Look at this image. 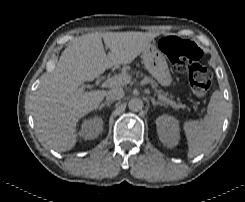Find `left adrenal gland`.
Listing matches in <instances>:
<instances>
[{
	"mask_svg": "<svg viewBox=\"0 0 245 202\" xmlns=\"http://www.w3.org/2000/svg\"><path fill=\"white\" fill-rule=\"evenodd\" d=\"M151 102H152V105L155 106V105H160V106H165L166 107V104L162 103V102H159V101H156L155 99H151Z\"/></svg>",
	"mask_w": 245,
	"mask_h": 202,
	"instance_id": "a2214340",
	"label": "left adrenal gland"
}]
</instances>
